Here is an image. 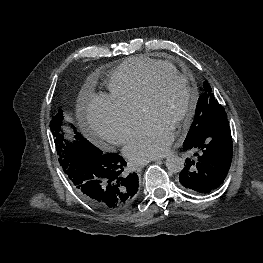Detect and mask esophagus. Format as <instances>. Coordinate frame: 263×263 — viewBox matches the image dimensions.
I'll return each mask as SVG.
<instances>
[{"instance_id": "34e87169", "label": "esophagus", "mask_w": 263, "mask_h": 263, "mask_svg": "<svg viewBox=\"0 0 263 263\" xmlns=\"http://www.w3.org/2000/svg\"><path fill=\"white\" fill-rule=\"evenodd\" d=\"M156 160L158 161V160H161V159H156ZM146 164H147V163H141V164L137 165V167H138V168H142V167H144Z\"/></svg>"}]
</instances>
